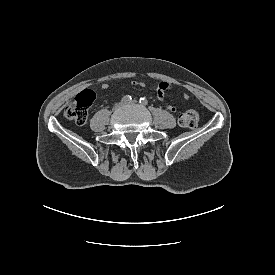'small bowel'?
I'll list each match as a JSON object with an SVG mask.
<instances>
[{"label": "small bowel", "instance_id": "obj_1", "mask_svg": "<svg viewBox=\"0 0 275 275\" xmlns=\"http://www.w3.org/2000/svg\"><path fill=\"white\" fill-rule=\"evenodd\" d=\"M135 85L139 86V87H144L145 83L144 82H134ZM108 89V84L103 83L101 85V90H106ZM170 90V86L167 83H161L159 84V86L157 87L156 90V94L159 100H164V97L166 95V93ZM183 100L187 101L189 99V95L187 93H184L182 96ZM168 109L172 112L176 111V107L175 106H167Z\"/></svg>", "mask_w": 275, "mask_h": 275}]
</instances>
